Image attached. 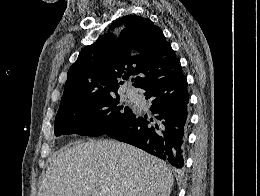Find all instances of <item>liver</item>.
<instances>
[{"mask_svg": "<svg viewBox=\"0 0 260 196\" xmlns=\"http://www.w3.org/2000/svg\"><path fill=\"white\" fill-rule=\"evenodd\" d=\"M165 162L113 140L61 148L41 178L38 196H170Z\"/></svg>", "mask_w": 260, "mask_h": 196, "instance_id": "1", "label": "liver"}]
</instances>
